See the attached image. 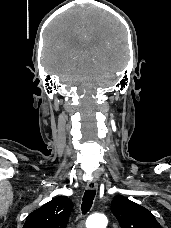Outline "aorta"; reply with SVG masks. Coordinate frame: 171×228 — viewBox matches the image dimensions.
<instances>
[{
  "label": "aorta",
  "instance_id": "762f6f07",
  "mask_svg": "<svg viewBox=\"0 0 171 228\" xmlns=\"http://www.w3.org/2000/svg\"><path fill=\"white\" fill-rule=\"evenodd\" d=\"M107 218L103 214H93L86 221V228H106Z\"/></svg>",
  "mask_w": 171,
  "mask_h": 228
}]
</instances>
